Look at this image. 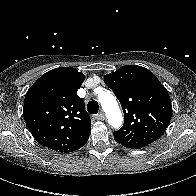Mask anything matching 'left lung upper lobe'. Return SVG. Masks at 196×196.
<instances>
[{
    "label": "left lung upper lobe",
    "instance_id": "5c2ea615",
    "mask_svg": "<svg viewBox=\"0 0 196 196\" xmlns=\"http://www.w3.org/2000/svg\"><path fill=\"white\" fill-rule=\"evenodd\" d=\"M121 103L125 121L114 132L116 142L127 148L141 149L158 140L172 116L167 89L148 69L126 65L104 76Z\"/></svg>",
    "mask_w": 196,
    "mask_h": 196
}]
</instances>
